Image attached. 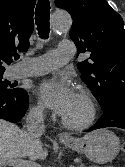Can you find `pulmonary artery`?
Instances as JSON below:
<instances>
[{"label":"pulmonary artery","mask_w":125,"mask_h":167,"mask_svg":"<svg viewBox=\"0 0 125 167\" xmlns=\"http://www.w3.org/2000/svg\"><path fill=\"white\" fill-rule=\"evenodd\" d=\"M73 55V43L71 41H61L58 49L51 50L38 57L27 58L31 65L17 69L13 77L18 79L48 73L66 64Z\"/></svg>","instance_id":"1"}]
</instances>
